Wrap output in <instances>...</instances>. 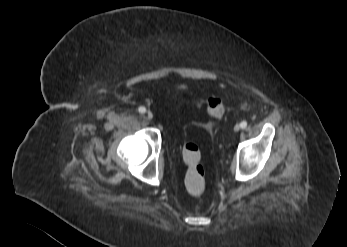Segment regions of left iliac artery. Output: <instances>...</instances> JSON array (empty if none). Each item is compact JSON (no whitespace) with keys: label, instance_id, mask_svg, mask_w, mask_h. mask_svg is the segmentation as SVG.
Wrapping results in <instances>:
<instances>
[{"label":"left iliac artery","instance_id":"left-iliac-artery-1","mask_svg":"<svg viewBox=\"0 0 347 247\" xmlns=\"http://www.w3.org/2000/svg\"><path fill=\"white\" fill-rule=\"evenodd\" d=\"M240 126H241L242 129L246 128L247 127V122L246 121H242L240 123Z\"/></svg>","mask_w":347,"mask_h":247}]
</instances>
